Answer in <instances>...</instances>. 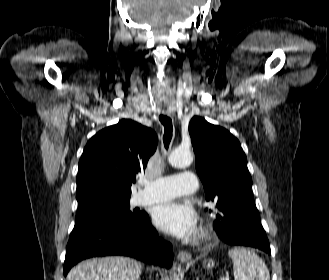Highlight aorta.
<instances>
[{
    "mask_svg": "<svg viewBox=\"0 0 329 280\" xmlns=\"http://www.w3.org/2000/svg\"><path fill=\"white\" fill-rule=\"evenodd\" d=\"M168 161L173 167L183 168L191 165L193 156L190 150L177 148L170 153Z\"/></svg>",
    "mask_w": 329,
    "mask_h": 280,
    "instance_id": "1",
    "label": "aorta"
}]
</instances>
